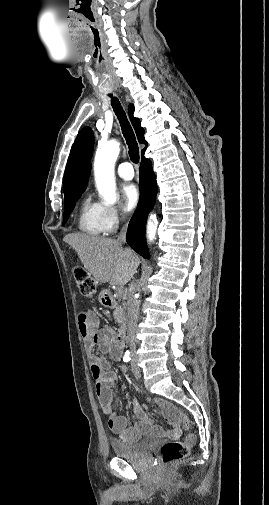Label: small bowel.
Masks as SVG:
<instances>
[{"label": "small bowel", "instance_id": "obj_1", "mask_svg": "<svg viewBox=\"0 0 269 505\" xmlns=\"http://www.w3.org/2000/svg\"><path fill=\"white\" fill-rule=\"evenodd\" d=\"M97 323V315L92 311L83 312L79 315L80 332L86 343L90 370L95 380L96 395L103 412L107 416L109 430L118 435L119 440L124 443L136 442L147 434L169 437L179 436L181 433V422L178 419L180 412L172 403L166 400L158 398L155 401L163 409L165 417L171 425L169 430L155 426L153 419L146 414L135 400L133 401V407L137 422L134 426H128V419L112 409L110 392L116 375L110 370V364L105 355H109L114 360H120L122 347L118 344L115 333L110 327L102 326L93 331V327Z\"/></svg>", "mask_w": 269, "mask_h": 505}]
</instances>
